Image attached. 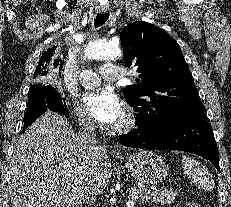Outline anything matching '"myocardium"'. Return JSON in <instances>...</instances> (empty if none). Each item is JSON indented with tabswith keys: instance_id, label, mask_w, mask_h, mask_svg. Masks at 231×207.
<instances>
[{
	"instance_id": "myocardium-1",
	"label": "myocardium",
	"mask_w": 231,
	"mask_h": 207,
	"mask_svg": "<svg viewBox=\"0 0 231 207\" xmlns=\"http://www.w3.org/2000/svg\"><path fill=\"white\" fill-rule=\"evenodd\" d=\"M137 124V117L131 108H125L123 120L109 128V132L115 135L126 134L132 131Z\"/></svg>"
}]
</instances>
